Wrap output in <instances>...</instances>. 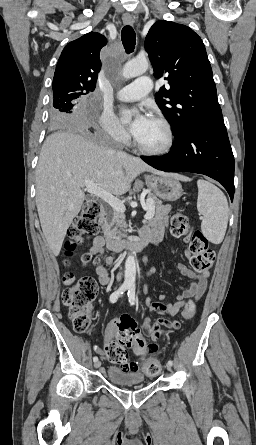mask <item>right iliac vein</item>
Returning a JSON list of instances; mask_svg holds the SVG:
<instances>
[{
  "label": "right iliac vein",
  "instance_id": "right-iliac-vein-1",
  "mask_svg": "<svg viewBox=\"0 0 256 445\" xmlns=\"http://www.w3.org/2000/svg\"><path fill=\"white\" fill-rule=\"evenodd\" d=\"M94 367L95 368H100L101 367V361H99V360H97L95 363H94Z\"/></svg>",
  "mask_w": 256,
  "mask_h": 445
}]
</instances>
